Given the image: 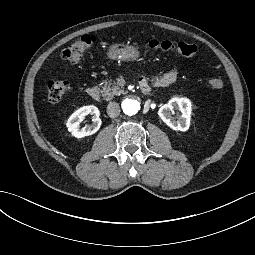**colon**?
<instances>
[{"mask_svg": "<svg viewBox=\"0 0 255 255\" xmlns=\"http://www.w3.org/2000/svg\"><path fill=\"white\" fill-rule=\"evenodd\" d=\"M96 42L93 35H84L77 41L67 46L61 53L62 58L71 63H78L83 55L90 50ZM147 47L151 51H159L165 53H176L185 57L195 55L197 48L193 44L186 42L173 43L170 41H156L152 40L147 43ZM208 86L212 89H221L223 81L215 78L208 82ZM69 90V84L63 80H50L47 83L48 99L56 103L61 101Z\"/></svg>", "mask_w": 255, "mask_h": 255, "instance_id": "obj_1", "label": "colon"}]
</instances>
